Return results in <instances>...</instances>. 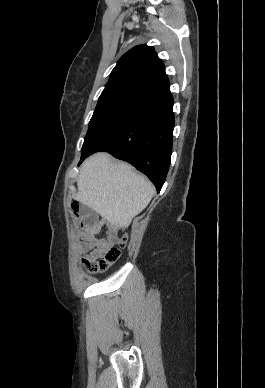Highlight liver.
I'll return each instance as SVG.
<instances>
[{
	"label": "liver",
	"instance_id": "liver-1",
	"mask_svg": "<svg viewBox=\"0 0 265 388\" xmlns=\"http://www.w3.org/2000/svg\"><path fill=\"white\" fill-rule=\"evenodd\" d=\"M74 200L85 204L114 228H128L147 208L155 188L147 178L110 154H94L83 162Z\"/></svg>",
	"mask_w": 265,
	"mask_h": 388
}]
</instances>
